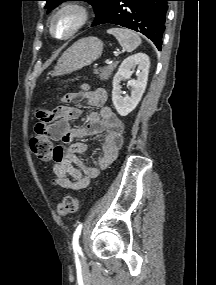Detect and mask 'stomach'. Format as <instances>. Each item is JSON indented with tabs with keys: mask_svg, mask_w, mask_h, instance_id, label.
Here are the masks:
<instances>
[{
	"mask_svg": "<svg viewBox=\"0 0 216 285\" xmlns=\"http://www.w3.org/2000/svg\"><path fill=\"white\" fill-rule=\"evenodd\" d=\"M103 51L102 41L94 36L76 41L58 60L53 71L54 76L73 73L97 60Z\"/></svg>",
	"mask_w": 216,
	"mask_h": 285,
	"instance_id": "obj_1",
	"label": "stomach"
}]
</instances>
